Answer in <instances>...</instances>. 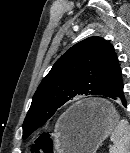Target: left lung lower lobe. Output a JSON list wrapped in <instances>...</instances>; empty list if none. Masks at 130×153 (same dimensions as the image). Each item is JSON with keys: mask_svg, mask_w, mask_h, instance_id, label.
I'll use <instances>...</instances> for the list:
<instances>
[{"mask_svg": "<svg viewBox=\"0 0 130 153\" xmlns=\"http://www.w3.org/2000/svg\"><path fill=\"white\" fill-rule=\"evenodd\" d=\"M121 75V68L117 60L110 72V75L108 76L107 82L101 92V96L109 97L114 100H121L122 104L126 107L127 103L123 93ZM81 111H84V109H81Z\"/></svg>", "mask_w": 130, "mask_h": 153, "instance_id": "1", "label": "left lung lower lobe"}]
</instances>
